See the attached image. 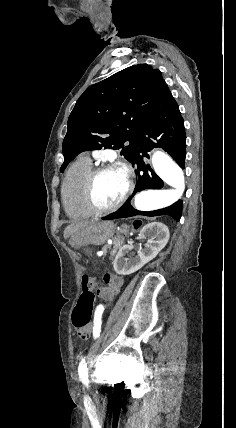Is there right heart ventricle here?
Segmentation results:
<instances>
[{"label": "right heart ventricle", "instance_id": "obj_1", "mask_svg": "<svg viewBox=\"0 0 236 428\" xmlns=\"http://www.w3.org/2000/svg\"><path fill=\"white\" fill-rule=\"evenodd\" d=\"M91 169V160L81 156L69 168L62 182L61 194L66 212L75 219H87L96 214L86 206L82 194L84 180Z\"/></svg>", "mask_w": 236, "mask_h": 428}]
</instances>
